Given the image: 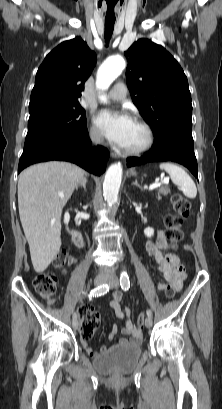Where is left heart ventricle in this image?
<instances>
[{"label": "left heart ventricle", "mask_w": 222, "mask_h": 409, "mask_svg": "<svg viewBox=\"0 0 222 409\" xmlns=\"http://www.w3.org/2000/svg\"><path fill=\"white\" fill-rule=\"evenodd\" d=\"M144 141H145L144 130L136 123H133L124 148L139 147L144 143Z\"/></svg>", "instance_id": "obj_1"}]
</instances>
